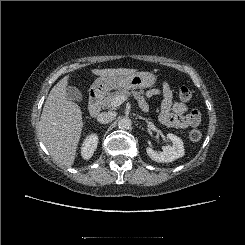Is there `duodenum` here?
I'll use <instances>...</instances> for the list:
<instances>
[{
    "label": "duodenum",
    "instance_id": "obj_1",
    "mask_svg": "<svg viewBox=\"0 0 245 245\" xmlns=\"http://www.w3.org/2000/svg\"><path fill=\"white\" fill-rule=\"evenodd\" d=\"M101 108V93L99 91H92L89 97L88 114L95 117L99 114Z\"/></svg>",
    "mask_w": 245,
    "mask_h": 245
}]
</instances>
